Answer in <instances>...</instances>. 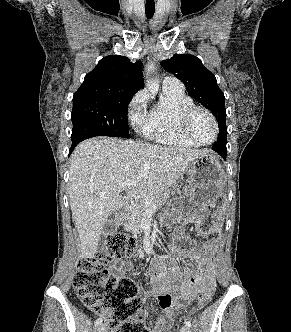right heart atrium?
<instances>
[{"mask_svg":"<svg viewBox=\"0 0 291 332\" xmlns=\"http://www.w3.org/2000/svg\"><path fill=\"white\" fill-rule=\"evenodd\" d=\"M147 95L139 92L131 101L129 106V118L134 126H143L146 120L145 106Z\"/></svg>","mask_w":291,"mask_h":332,"instance_id":"right-heart-atrium-1","label":"right heart atrium"}]
</instances>
